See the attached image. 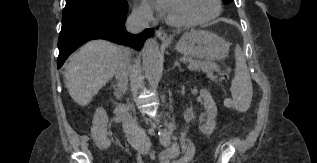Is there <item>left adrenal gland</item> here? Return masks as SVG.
I'll return each instance as SVG.
<instances>
[{
	"label": "left adrenal gland",
	"mask_w": 317,
	"mask_h": 163,
	"mask_svg": "<svg viewBox=\"0 0 317 163\" xmlns=\"http://www.w3.org/2000/svg\"><path fill=\"white\" fill-rule=\"evenodd\" d=\"M176 66H180V65H179V62H178V60H177V59L175 60V63H174L173 68H175Z\"/></svg>",
	"instance_id": "a2214340"
}]
</instances>
